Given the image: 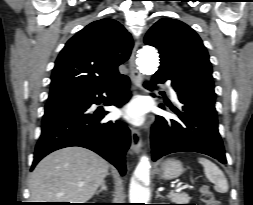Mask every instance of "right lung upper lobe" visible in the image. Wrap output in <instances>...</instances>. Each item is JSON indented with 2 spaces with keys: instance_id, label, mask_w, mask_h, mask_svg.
Listing matches in <instances>:
<instances>
[{
  "instance_id": "cb5924a9",
  "label": "right lung upper lobe",
  "mask_w": 253,
  "mask_h": 205,
  "mask_svg": "<svg viewBox=\"0 0 253 205\" xmlns=\"http://www.w3.org/2000/svg\"><path fill=\"white\" fill-rule=\"evenodd\" d=\"M132 47L131 35L116 20L90 23L60 52L48 101L95 91L122 77L118 66L129 58Z\"/></svg>"
}]
</instances>
